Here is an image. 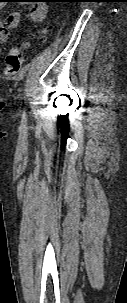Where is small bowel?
<instances>
[{
    "label": "small bowel",
    "mask_w": 127,
    "mask_h": 303,
    "mask_svg": "<svg viewBox=\"0 0 127 303\" xmlns=\"http://www.w3.org/2000/svg\"><path fill=\"white\" fill-rule=\"evenodd\" d=\"M43 0L33 3L28 9V18L32 21L40 22L46 18L48 7ZM21 15L18 12L10 13L5 23L0 20V42H5L12 30L18 27Z\"/></svg>",
    "instance_id": "c3829d8e"
}]
</instances>
